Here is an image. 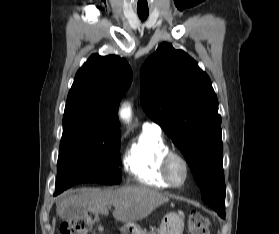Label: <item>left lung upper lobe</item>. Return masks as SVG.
<instances>
[{"instance_id":"left-lung-upper-lobe-1","label":"left lung upper lobe","mask_w":279,"mask_h":234,"mask_svg":"<svg viewBox=\"0 0 279 234\" xmlns=\"http://www.w3.org/2000/svg\"><path fill=\"white\" fill-rule=\"evenodd\" d=\"M141 105L183 153L204 203L224 218L221 116L209 76L162 43L141 68Z\"/></svg>"}]
</instances>
